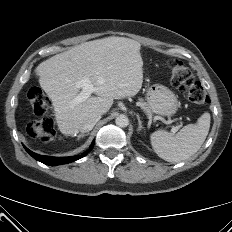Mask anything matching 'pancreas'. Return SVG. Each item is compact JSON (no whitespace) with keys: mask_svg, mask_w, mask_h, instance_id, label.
<instances>
[{"mask_svg":"<svg viewBox=\"0 0 232 232\" xmlns=\"http://www.w3.org/2000/svg\"><path fill=\"white\" fill-rule=\"evenodd\" d=\"M140 107L143 108L147 113H150L151 110L150 108L147 106V104L145 102H140L139 103Z\"/></svg>","mask_w":232,"mask_h":232,"instance_id":"1","label":"pancreas"}]
</instances>
